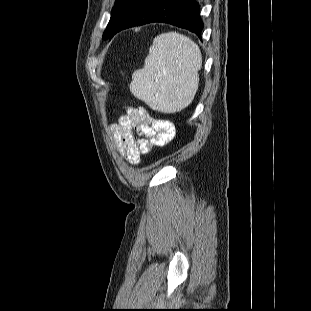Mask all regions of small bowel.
<instances>
[{"label":"small bowel","mask_w":311,"mask_h":311,"mask_svg":"<svg viewBox=\"0 0 311 311\" xmlns=\"http://www.w3.org/2000/svg\"><path fill=\"white\" fill-rule=\"evenodd\" d=\"M111 134L120 154L129 163L137 164L141 155L171 141L174 127L169 121L152 117L144 108L129 107L127 114L111 127Z\"/></svg>","instance_id":"obj_1"}]
</instances>
